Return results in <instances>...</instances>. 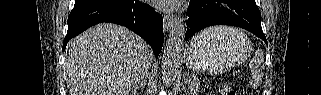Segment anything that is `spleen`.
<instances>
[{"instance_id": "1", "label": "spleen", "mask_w": 321, "mask_h": 95, "mask_svg": "<svg viewBox=\"0 0 321 95\" xmlns=\"http://www.w3.org/2000/svg\"><path fill=\"white\" fill-rule=\"evenodd\" d=\"M233 31H234L233 28L219 26V27L209 28V29L205 30L204 32H202L201 35H207L210 37H217L222 34L231 33ZM249 67H250V71H251V78L249 80V83L252 88H258L262 82V79L264 76V69H265L264 54H263L262 50L258 49L256 51L255 55L253 56V58L250 61Z\"/></svg>"}]
</instances>
